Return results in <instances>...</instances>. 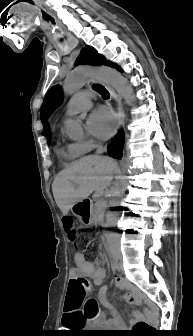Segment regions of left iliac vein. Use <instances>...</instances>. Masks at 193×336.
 <instances>
[{
	"label": "left iliac vein",
	"mask_w": 193,
	"mask_h": 336,
	"mask_svg": "<svg viewBox=\"0 0 193 336\" xmlns=\"http://www.w3.org/2000/svg\"><path fill=\"white\" fill-rule=\"evenodd\" d=\"M118 259L120 260L119 268H120L121 270H123V266H122V256H118Z\"/></svg>",
	"instance_id": "4c4485c4"
}]
</instances>
